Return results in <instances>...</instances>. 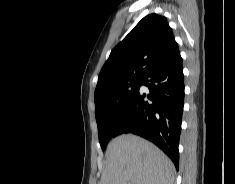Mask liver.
<instances>
[{"label":"liver","mask_w":235,"mask_h":184,"mask_svg":"<svg viewBox=\"0 0 235 184\" xmlns=\"http://www.w3.org/2000/svg\"><path fill=\"white\" fill-rule=\"evenodd\" d=\"M100 184H173L175 168L154 144L124 134L108 144Z\"/></svg>","instance_id":"6515ba94"}]
</instances>
